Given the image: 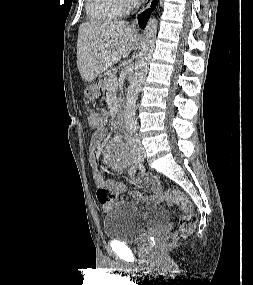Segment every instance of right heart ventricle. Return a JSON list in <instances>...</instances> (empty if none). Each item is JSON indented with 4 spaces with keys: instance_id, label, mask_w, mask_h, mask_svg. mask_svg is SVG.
Instances as JSON below:
<instances>
[{
    "instance_id": "e07e8e85",
    "label": "right heart ventricle",
    "mask_w": 253,
    "mask_h": 285,
    "mask_svg": "<svg viewBox=\"0 0 253 285\" xmlns=\"http://www.w3.org/2000/svg\"><path fill=\"white\" fill-rule=\"evenodd\" d=\"M85 7L88 17L95 21L116 19L124 13L122 0H86Z\"/></svg>"
}]
</instances>
